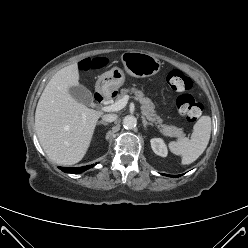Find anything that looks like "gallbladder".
<instances>
[{
  "instance_id": "bac80fb5",
  "label": "gallbladder",
  "mask_w": 248,
  "mask_h": 248,
  "mask_svg": "<svg viewBox=\"0 0 248 248\" xmlns=\"http://www.w3.org/2000/svg\"><path fill=\"white\" fill-rule=\"evenodd\" d=\"M71 96L76 99L78 102H81L85 105L92 106L93 105V96L91 92L84 87L83 85H78L71 87L69 89Z\"/></svg>"
}]
</instances>
